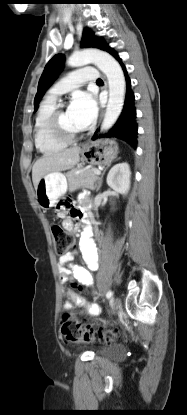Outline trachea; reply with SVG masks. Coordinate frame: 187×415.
<instances>
[{"instance_id": "obj_1", "label": "trachea", "mask_w": 187, "mask_h": 415, "mask_svg": "<svg viewBox=\"0 0 187 415\" xmlns=\"http://www.w3.org/2000/svg\"><path fill=\"white\" fill-rule=\"evenodd\" d=\"M96 82H97V83H101V82H102V80H101V79H98Z\"/></svg>"}]
</instances>
